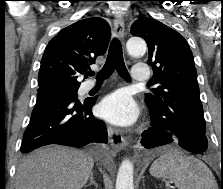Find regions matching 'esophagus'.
I'll return each mask as SVG.
<instances>
[{"label":"esophagus","mask_w":223,"mask_h":189,"mask_svg":"<svg viewBox=\"0 0 223 189\" xmlns=\"http://www.w3.org/2000/svg\"><path fill=\"white\" fill-rule=\"evenodd\" d=\"M124 21L121 17H116L113 23V33L115 37L122 40L124 38ZM109 142L116 150H122L126 147V139L111 126L108 127Z\"/></svg>","instance_id":"34e87169"}]
</instances>
